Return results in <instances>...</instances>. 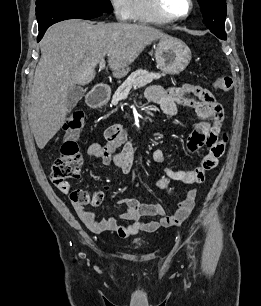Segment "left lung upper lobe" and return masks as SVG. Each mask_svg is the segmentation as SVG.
<instances>
[{
    "instance_id": "obj_1",
    "label": "left lung upper lobe",
    "mask_w": 261,
    "mask_h": 306,
    "mask_svg": "<svg viewBox=\"0 0 261 306\" xmlns=\"http://www.w3.org/2000/svg\"><path fill=\"white\" fill-rule=\"evenodd\" d=\"M203 14V23L214 34L225 33L227 7L225 0H198Z\"/></svg>"
}]
</instances>
